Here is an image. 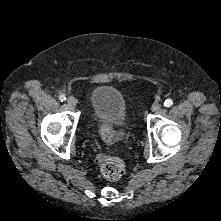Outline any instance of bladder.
Segmentation results:
<instances>
[{"instance_id":"31cf9c89","label":"bladder","mask_w":221,"mask_h":221,"mask_svg":"<svg viewBox=\"0 0 221 221\" xmlns=\"http://www.w3.org/2000/svg\"><path fill=\"white\" fill-rule=\"evenodd\" d=\"M90 110L98 122L121 125L127 118V105L122 93L111 86H98L90 95Z\"/></svg>"}]
</instances>
